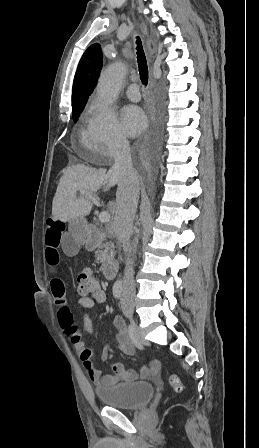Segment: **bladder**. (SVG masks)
<instances>
[{"mask_svg":"<svg viewBox=\"0 0 259 448\" xmlns=\"http://www.w3.org/2000/svg\"><path fill=\"white\" fill-rule=\"evenodd\" d=\"M150 383H120L95 391L101 403L120 409H137L146 405L154 395Z\"/></svg>","mask_w":259,"mask_h":448,"instance_id":"bladder-1","label":"bladder"}]
</instances>
